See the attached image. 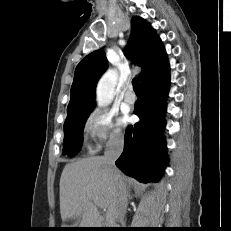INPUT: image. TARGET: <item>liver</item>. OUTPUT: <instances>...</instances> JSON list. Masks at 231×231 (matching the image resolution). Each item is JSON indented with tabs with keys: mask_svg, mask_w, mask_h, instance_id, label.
Instances as JSON below:
<instances>
[{
	"mask_svg": "<svg viewBox=\"0 0 231 231\" xmlns=\"http://www.w3.org/2000/svg\"><path fill=\"white\" fill-rule=\"evenodd\" d=\"M116 182L124 188L123 177L118 170L109 173L102 156H91L67 164L60 178V213L62 221L77 219L72 226L98 228L102 219L92 197L100 198L106 210L108 222L116 219ZM65 226V225H64Z\"/></svg>",
	"mask_w": 231,
	"mask_h": 231,
	"instance_id": "obj_1",
	"label": "liver"
}]
</instances>
